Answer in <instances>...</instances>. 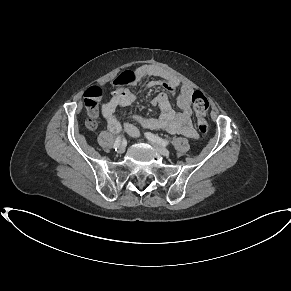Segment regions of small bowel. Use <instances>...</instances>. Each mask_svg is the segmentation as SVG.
I'll list each match as a JSON object with an SVG mask.
<instances>
[{
    "label": "small bowel",
    "mask_w": 291,
    "mask_h": 291,
    "mask_svg": "<svg viewBox=\"0 0 291 291\" xmlns=\"http://www.w3.org/2000/svg\"><path fill=\"white\" fill-rule=\"evenodd\" d=\"M158 77L162 79V84L167 92L158 94L152 104L160 109L158 118L147 117L141 113H136L134 119L142 126L155 130H165L171 134H182L195 139L197 132L191 124L192 117V94L193 88L169 74L162 67L155 64H145L136 69L133 73L132 83L144 77ZM157 81H151L150 85H157ZM169 93L176 94V101L179 110H174L171 106ZM134 100V94L128 87H114L112 97L100 105V113L106 122L107 129L111 133H118L124 129L130 136L139 137L140 131L128 122H122L116 114V109L121 106H128Z\"/></svg>",
    "instance_id": "obj_1"
}]
</instances>
